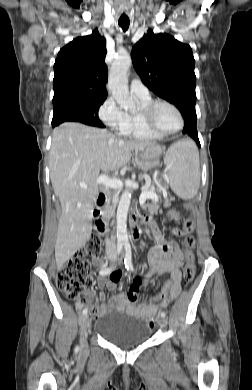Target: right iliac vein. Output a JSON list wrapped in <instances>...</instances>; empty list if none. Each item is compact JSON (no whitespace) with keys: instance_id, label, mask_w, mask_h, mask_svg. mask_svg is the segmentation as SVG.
<instances>
[{"instance_id":"1","label":"right iliac vein","mask_w":252,"mask_h":390,"mask_svg":"<svg viewBox=\"0 0 252 390\" xmlns=\"http://www.w3.org/2000/svg\"><path fill=\"white\" fill-rule=\"evenodd\" d=\"M111 259H114V257H111ZM79 324H80V331H81V337L80 342L81 345L86 348L87 347V340L86 335L90 327V321L88 319L87 315H81L79 318Z\"/></svg>"}]
</instances>
